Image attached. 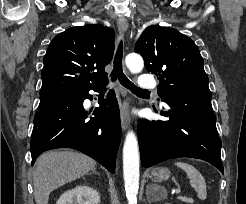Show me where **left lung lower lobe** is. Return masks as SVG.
<instances>
[{
    "instance_id": "left-lung-lower-lobe-1",
    "label": "left lung lower lobe",
    "mask_w": 246,
    "mask_h": 204,
    "mask_svg": "<svg viewBox=\"0 0 246 204\" xmlns=\"http://www.w3.org/2000/svg\"><path fill=\"white\" fill-rule=\"evenodd\" d=\"M162 101L169 109L161 111V115L169 120H140L138 123L141 166L191 157L205 160L224 173L222 143L211 97L167 96Z\"/></svg>"
}]
</instances>
